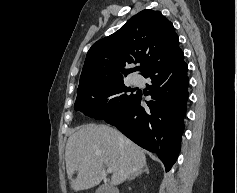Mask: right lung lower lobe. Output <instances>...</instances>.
I'll return each mask as SVG.
<instances>
[{
	"label": "right lung lower lobe",
	"mask_w": 237,
	"mask_h": 193,
	"mask_svg": "<svg viewBox=\"0 0 237 193\" xmlns=\"http://www.w3.org/2000/svg\"><path fill=\"white\" fill-rule=\"evenodd\" d=\"M183 56L180 49L143 75L151 79L148 107L140 105L143 94L138 91L123 110L104 119L142 148L156 153L166 171L177 159L184 129L189 80Z\"/></svg>",
	"instance_id": "right-lung-lower-lobe-1"
}]
</instances>
